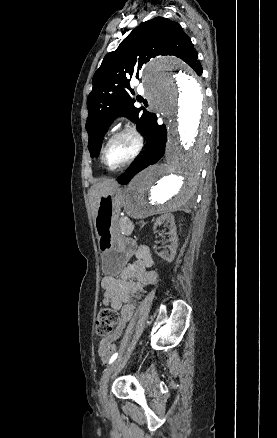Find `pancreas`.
I'll use <instances>...</instances> for the list:
<instances>
[{
	"label": "pancreas",
	"instance_id": "1",
	"mask_svg": "<svg viewBox=\"0 0 277 438\" xmlns=\"http://www.w3.org/2000/svg\"><path fill=\"white\" fill-rule=\"evenodd\" d=\"M123 233H133L136 230L135 225L133 224H123V226H121Z\"/></svg>",
	"mask_w": 277,
	"mask_h": 438
}]
</instances>
